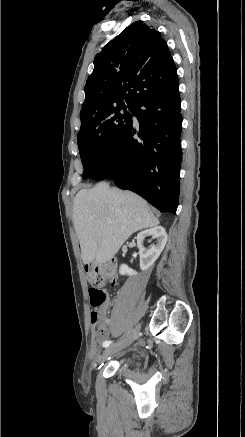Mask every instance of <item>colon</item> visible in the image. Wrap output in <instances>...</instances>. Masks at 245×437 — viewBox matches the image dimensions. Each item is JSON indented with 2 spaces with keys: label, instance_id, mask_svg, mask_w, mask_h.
<instances>
[{
  "label": "colon",
  "instance_id": "1",
  "mask_svg": "<svg viewBox=\"0 0 245 437\" xmlns=\"http://www.w3.org/2000/svg\"><path fill=\"white\" fill-rule=\"evenodd\" d=\"M116 268L117 263L112 260L101 265L88 266L86 269L87 278L91 285L89 289L90 304L94 308L91 312V319L96 324L102 317L101 309L106 302L104 287L116 283ZM104 332V327L100 326L95 330V336L101 337L104 335Z\"/></svg>",
  "mask_w": 245,
  "mask_h": 437
}]
</instances>
